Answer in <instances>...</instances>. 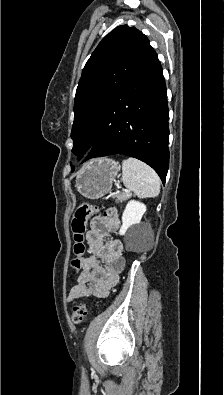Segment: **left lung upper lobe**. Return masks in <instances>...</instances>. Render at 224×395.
Returning <instances> with one entry per match:
<instances>
[{
	"mask_svg": "<svg viewBox=\"0 0 224 395\" xmlns=\"http://www.w3.org/2000/svg\"><path fill=\"white\" fill-rule=\"evenodd\" d=\"M153 52L148 38L128 25L116 27L102 39L77 87L71 132L73 153L82 156L90 148L103 112Z\"/></svg>",
	"mask_w": 224,
	"mask_h": 395,
	"instance_id": "1",
	"label": "left lung upper lobe"
}]
</instances>
